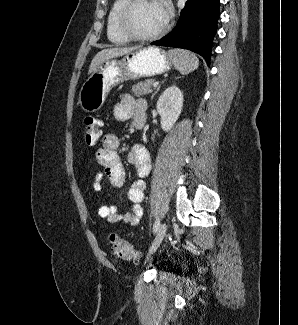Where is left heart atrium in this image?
<instances>
[{
    "label": "left heart atrium",
    "instance_id": "obj_1",
    "mask_svg": "<svg viewBox=\"0 0 298 325\" xmlns=\"http://www.w3.org/2000/svg\"><path fill=\"white\" fill-rule=\"evenodd\" d=\"M168 12L165 10V19H167Z\"/></svg>",
    "mask_w": 298,
    "mask_h": 325
}]
</instances>
